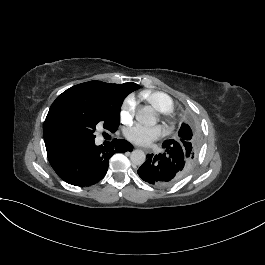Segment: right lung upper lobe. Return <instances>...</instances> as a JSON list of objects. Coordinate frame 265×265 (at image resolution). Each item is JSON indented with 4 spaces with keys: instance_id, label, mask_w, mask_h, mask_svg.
<instances>
[{
    "instance_id": "right-lung-upper-lobe-1",
    "label": "right lung upper lobe",
    "mask_w": 265,
    "mask_h": 265,
    "mask_svg": "<svg viewBox=\"0 0 265 265\" xmlns=\"http://www.w3.org/2000/svg\"><path fill=\"white\" fill-rule=\"evenodd\" d=\"M122 86L134 91L136 89L139 88V85L135 84V83H132V82H128V83H123ZM54 149H56V147L54 146H46V150H47V153H50L51 151H53Z\"/></svg>"
}]
</instances>
